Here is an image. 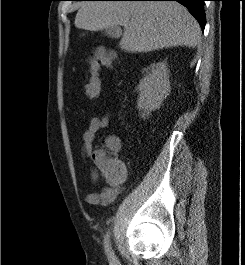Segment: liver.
<instances>
[{"instance_id":"obj_1","label":"liver","mask_w":245,"mask_h":265,"mask_svg":"<svg viewBox=\"0 0 245 265\" xmlns=\"http://www.w3.org/2000/svg\"><path fill=\"white\" fill-rule=\"evenodd\" d=\"M75 26L90 31L124 27L121 49L127 52L188 46L201 42V29L189 11L174 1H86L78 4Z\"/></svg>"}]
</instances>
